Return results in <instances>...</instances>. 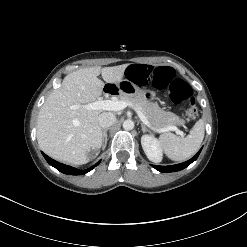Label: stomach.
Returning <instances> with one entry per match:
<instances>
[{"label":"stomach","mask_w":247,"mask_h":247,"mask_svg":"<svg viewBox=\"0 0 247 247\" xmlns=\"http://www.w3.org/2000/svg\"><path fill=\"white\" fill-rule=\"evenodd\" d=\"M119 92L122 95H127L130 97H140L147 101H154L157 98V94L152 90H142L138 88L134 83L123 80L119 82Z\"/></svg>","instance_id":"0dacf381"}]
</instances>
